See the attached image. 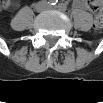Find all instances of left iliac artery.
<instances>
[{
  "label": "left iliac artery",
  "mask_w": 103,
  "mask_h": 103,
  "mask_svg": "<svg viewBox=\"0 0 103 103\" xmlns=\"http://www.w3.org/2000/svg\"><path fill=\"white\" fill-rule=\"evenodd\" d=\"M58 8H59L61 11H66V10H67V6H66V4H64V3H59V4H58Z\"/></svg>",
  "instance_id": "1"
}]
</instances>
